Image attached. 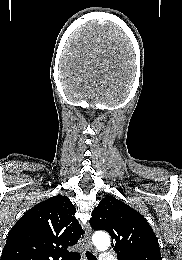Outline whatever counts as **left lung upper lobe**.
<instances>
[{"label":"left lung upper lobe","instance_id":"5c2ea615","mask_svg":"<svg viewBox=\"0 0 182 260\" xmlns=\"http://www.w3.org/2000/svg\"><path fill=\"white\" fill-rule=\"evenodd\" d=\"M90 225L110 234L118 260H162L157 237L147 220L113 196L102 199L92 211Z\"/></svg>","mask_w":182,"mask_h":260}]
</instances>
